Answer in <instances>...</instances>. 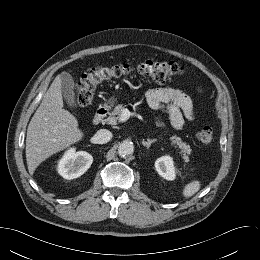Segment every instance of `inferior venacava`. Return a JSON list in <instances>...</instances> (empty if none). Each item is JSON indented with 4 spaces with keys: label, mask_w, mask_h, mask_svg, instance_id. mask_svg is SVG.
<instances>
[{
    "label": "inferior vena cava",
    "mask_w": 260,
    "mask_h": 260,
    "mask_svg": "<svg viewBox=\"0 0 260 260\" xmlns=\"http://www.w3.org/2000/svg\"><path fill=\"white\" fill-rule=\"evenodd\" d=\"M111 138H112V133L107 129H100L94 135V139L98 144L107 143L111 140Z\"/></svg>",
    "instance_id": "obj_1"
}]
</instances>
